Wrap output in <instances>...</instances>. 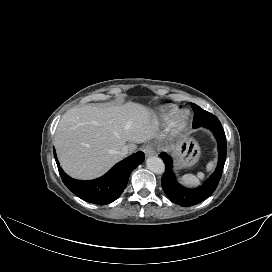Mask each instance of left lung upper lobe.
Here are the masks:
<instances>
[{"label": "left lung upper lobe", "mask_w": 272, "mask_h": 272, "mask_svg": "<svg viewBox=\"0 0 272 272\" xmlns=\"http://www.w3.org/2000/svg\"><path fill=\"white\" fill-rule=\"evenodd\" d=\"M191 106L193 108V111L195 112L194 120H193V127L200 126L204 123H207V122L217 118L213 114L201 109L196 104L191 103Z\"/></svg>", "instance_id": "1"}]
</instances>
